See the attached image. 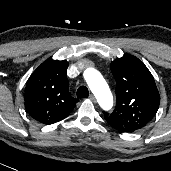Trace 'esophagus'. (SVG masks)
I'll list each match as a JSON object with an SVG mask.
<instances>
[{
  "instance_id": "esophagus-1",
  "label": "esophagus",
  "mask_w": 171,
  "mask_h": 171,
  "mask_svg": "<svg viewBox=\"0 0 171 171\" xmlns=\"http://www.w3.org/2000/svg\"><path fill=\"white\" fill-rule=\"evenodd\" d=\"M89 99L92 100V101H95V96L93 94H90Z\"/></svg>"
}]
</instances>
